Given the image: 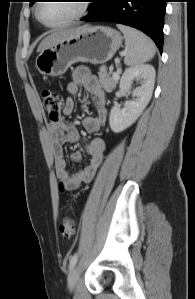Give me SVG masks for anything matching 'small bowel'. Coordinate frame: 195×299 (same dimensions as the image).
<instances>
[{"label": "small bowel", "mask_w": 195, "mask_h": 299, "mask_svg": "<svg viewBox=\"0 0 195 299\" xmlns=\"http://www.w3.org/2000/svg\"><path fill=\"white\" fill-rule=\"evenodd\" d=\"M80 87H83L90 95L96 108L94 116H88L84 119L83 125L87 133H95L105 126L108 117L106 108L105 92L99 79L89 73L84 68H78L73 72L72 81L67 84L66 91L69 97L65 100L63 112L70 115L75 109L73 96L78 94ZM48 131L52 144V150L55 157L56 174L64 189L72 191L78 189L83 183L90 182L103 160V154L106 148L105 142L101 138L92 139L86 149L91 157L89 164L80 169L77 173L71 175L67 169L66 161L63 157V144L66 142H76L79 134L76 127L65 121L50 122ZM81 152L76 151L73 154V160L80 162Z\"/></svg>", "instance_id": "obj_1"}]
</instances>
